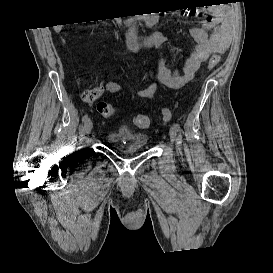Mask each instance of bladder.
<instances>
[{"label": "bladder", "instance_id": "obj_1", "mask_svg": "<svg viewBox=\"0 0 273 273\" xmlns=\"http://www.w3.org/2000/svg\"><path fill=\"white\" fill-rule=\"evenodd\" d=\"M148 135L145 132L134 131L123 125L107 135L110 146L122 155L133 154L144 149L148 144Z\"/></svg>", "mask_w": 273, "mask_h": 273}]
</instances>
